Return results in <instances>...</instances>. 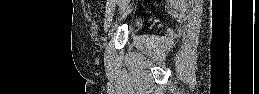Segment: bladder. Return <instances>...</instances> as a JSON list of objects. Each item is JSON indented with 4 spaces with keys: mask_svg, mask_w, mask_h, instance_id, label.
<instances>
[{
    "mask_svg": "<svg viewBox=\"0 0 259 94\" xmlns=\"http://www.w3.org/2000/svg\"><path fill=\"white\" fill-rule=\"evenodd\" d=\"M133 30H135V24H134V23H131V24H130V31H133Z\"/></svg>",
    "mask_w": 259,
    "mask_h": 94,
    "instance_id": "bladder-1",
    "label": "bladder"
}]
</instances>
